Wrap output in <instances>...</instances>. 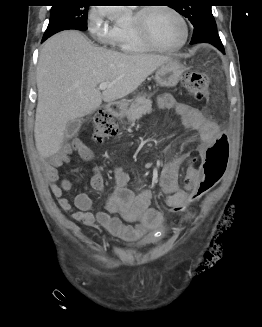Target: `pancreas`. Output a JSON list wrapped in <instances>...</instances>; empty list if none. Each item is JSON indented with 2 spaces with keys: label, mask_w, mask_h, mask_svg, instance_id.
Wrapping results in <instances>:
<instances>
[{
  "label": "pancreas",
  "mask_w": 262,
  "mask_h": 327,
  "mask_svg": "<svg viewBox=\"0 0 262 327\" xmlns=\"http://www.w3.org/2000/svg\"><path fill=\"white\" fill-rule=\"evenodd\" d=\"M152 112V101L146 96H138L131 104L130 108L126 112V116L129 122H134L140 119L143 115L150 114Z\"/></svg>",
  "instance_id": "1"
}]
</instances>
